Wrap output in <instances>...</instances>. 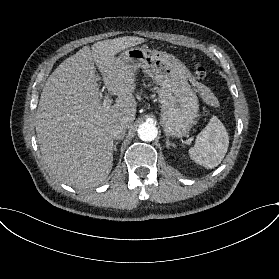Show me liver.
<instances>
[{"mask_svg":"<svg viewBox=\"0 0 279 279\" xmlns=\"http://www.w3.org/2000/svg\"><path fill=\"white\" fill-rule=\"evenodd\" d=\"M147 39L124 36L84 46L65 59L48 77L35 114L42 157L65 184L88 188L104 184L113 167L111 128L136 118V67L119 57ZM98 66L102 77L96 73ZM117 96L116 104L102 100L100 84ZM199 94L202 85L192 80Z\"/></svg>","mask_w":279,"mask_h":279,"instance_id":"1","label":"liver"}]
</instances>
